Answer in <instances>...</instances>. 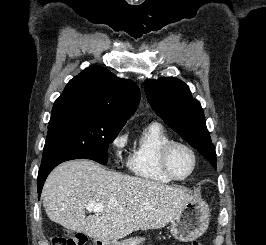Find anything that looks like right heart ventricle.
Returning a JSON list of instances; mask_svg holds the SVG:
<instances>
[{
    "instance_id": "1",
    "label": "right heart ventricle",
    "mask_w": 266,
    "mask_h": 245,
    "mask_svg": "<svg viewBox=\"0 0 266 245\" xmlns=\"http://www.w3.org/2000/svg\"><path fill=\"white\" fill-rule=\"evenodd\" d=\"M170 140H173L171 135L161 123L147 124L132 145L128 161L131 172L149 184L172 183L160 165L161 148Z\"/></svg>"
}]
</instances>
